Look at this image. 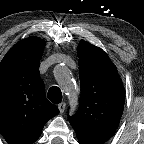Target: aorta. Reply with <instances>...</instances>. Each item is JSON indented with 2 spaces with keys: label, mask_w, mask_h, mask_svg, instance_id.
<instances>
[{
  "label": "aorta",
  "mask_w": 144,
  "mask_h": 144,
  "mask_svg": "<svg viewBox=\"0 0 144 144\" xmlns=\"http://www.w3.org/2000/svg\"><path fill=\"white\" fill-rule=\"evenodd\" d=\"M54 75L55 77L62 81L63 85L66 88V91H69V88H74L73 84L70 81L69 71L66 66L64 65H57L54 68Z\"/></svg>",
  "instance_id": "aorta-1"
}]
</instances>
